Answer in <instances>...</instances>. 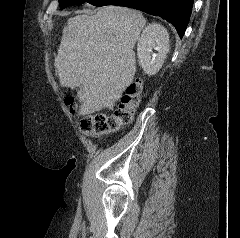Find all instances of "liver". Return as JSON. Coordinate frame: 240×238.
I'll return each mask as SVG.
<instances>
[{
    "mask_svg": "<svg viewBox=\"0 0 240 238\" xmlns=\"http://www.w3.org/2000/svg\"><path fill=\"white\" fill-rule=\"evenodd\" d=\"M145 24L139 11L116 6L68 19L54 66L62 87H80V114L113 110L134 79L133 49Z\"/></svg>",
    "mask_w": 240,
    "mask_h": 238,
    "instance_id": "liver-1",
    "label": "liver"
}]
</instances>
